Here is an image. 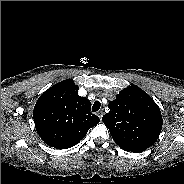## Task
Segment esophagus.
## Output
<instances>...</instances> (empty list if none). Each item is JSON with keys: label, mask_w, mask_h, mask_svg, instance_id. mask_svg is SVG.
<instances>
[{"label": "esophagus", "mask_w": 184, "mask_h": 184, "mask_svg": "<svg viewBox=\"0 0 184 184\" xmlns=\"http://www.w3.org/2000/svg\"><path fill=\"white\" fill-rule=\"evenodd\" d=\"M103 114H104L103 110L97 112V115L100 119L103 117Z\"/></svg>", "instance_id": "1"}]
</instances>
